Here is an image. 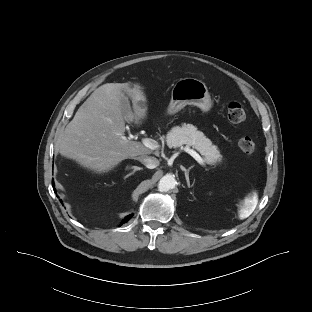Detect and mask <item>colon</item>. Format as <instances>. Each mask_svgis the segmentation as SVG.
I'll return each mask as SVG.
<instances>
[{
    "mask_svg": "<svg viewBox=\"0 0 312 312\" xmlns=\"http://www.w3.org/2000/svg\"><path fill=\"white\" fill-rule=\"evenodd\" d=\"M227 117L231 123L238 124L245 120L246 113L239 102H231L227 107ZM239 147L244 153L251 154L254 152L256 145L250 136L244 135L239 140Z\"/></svg>",
    "mask_w": 312,
    "mask_h": 312,
    "instance_id": "1",
    "label": "colon"
}]
</instances>
